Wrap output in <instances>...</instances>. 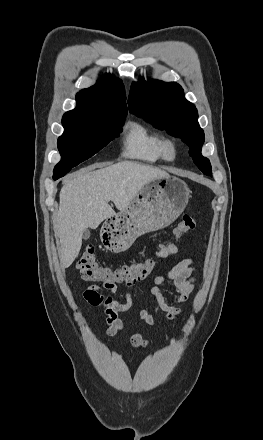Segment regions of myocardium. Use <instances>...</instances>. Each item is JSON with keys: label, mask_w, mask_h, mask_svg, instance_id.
<instances>
[{"label": "myocardium", "mask_w": 263, "mask_h": 440, "mask_svg": "<svg viewBox=\"0 0 263 440\" xmlns=\"http://www.w3.org/2000/svg\"><path fill=\"white\" fill-rule=\"evenodd\" d=\"M179 151V144L174 138H164L162 141V152L167 160H174Z\"/></svg>", "instance_id": "myocardium-1"}]
</instances>
